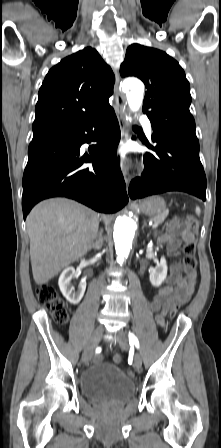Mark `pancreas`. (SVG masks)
Returning a JSON list of instances; mask_svg holds the SVG:
<instances>
[{"label": "pancreas", "instance_id": "pancreas-1", "mask_svg": "<svg viewBox=\"0 0 221 448\" xmlns=\"http://www.w3.org/2000/svg\"><path fill=\"white\" fill-rule=\"evenodd\" d=\"M166 215H167V213L164 214V215L154 216V217L151 218V220L156 222V223H158V224H160V223H162L164 221Z\"/></svg>", "mask_w": 221, "mask_h": 448}]
</instances>
